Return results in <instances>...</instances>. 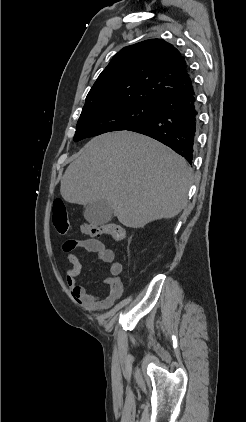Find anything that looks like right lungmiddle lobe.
Wrapping results in <instances>:
<instances>
[{"label": "right lung middle lobe", "instance_id": "right-lung-middle-lobe-1", "mask_svg": "<svg viewBox=\"0 0 246 422\" xmlns=\"http://www.w3.org/2000/svg\"><path fill=\"white\" fill-rule=\"evenodd\" d=\"M157 104L117 100L83 107L74 141L106 132L127 130L156 115Z\"/></svg>", "mask_w": 246, "mask_h": 422}]
</instances>
